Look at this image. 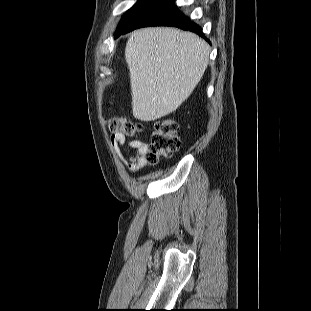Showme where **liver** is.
<instances>
[{
  "label": "liver",
  "mask_w": 311,
  "mask_h": 311,
  "mask_svg": "<svg viewBox=\"0 0 311 311\" xmlns=\"http://www.w3.org/2000/svg\"><path fill=\"white\" fill-rule=\"evenodd\" d=\"M209 52L194 33L163 27L134 31L125 48L134 117L154 121L180 107L202 78Z\"/></svg>",
  "instance_id": "1"
}]
</instances>
